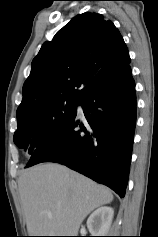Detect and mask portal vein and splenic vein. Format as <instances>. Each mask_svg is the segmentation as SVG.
I'll list each match as a JSON object with an SVG mask.
<instances>
[{
	"mask_svg": "<svg viewBox=\"0 0 158 237\" xmlns=\"http://www.w3.org/2000/svg\"><path fill=\"white\" fill-rule=\"evenodd\" d=\"M49 218H50V219L52 218V215H51V214H49Z\"/></svg>",
	"mask_w": 158,
	"mask_h": 237,
	"instance_id": "portal-vein-and-splenic-vein-1",
	"label": "portal vein and splenic vein"
}]
</instances>
